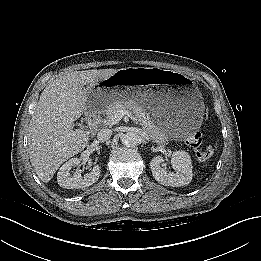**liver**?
<instances>
[{"label":"liver","instance_id":"liver-1","mask_svg":"<svg viewBox=\"0 0 261 261\" xmlns=\"http://www.w3.org/2000/svg\"><path fill=\"white\" fill-rule=\"evenodd\" d=\"M116 69L74 71L49 82L29 123V158L39 179L47 183L66 160L81 152L89 136L73 123L87 110L88 96ZM86 86V88H85Z\"/></svg>","mask_w":261,"mask_h":261}]
</instances>
